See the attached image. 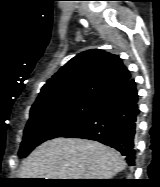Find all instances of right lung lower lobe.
<instances>
[{
  "label": "right lung lower lobe",
  "mask_w": 160,
  "mask_h": 187,
  "mask_svg": "<svg viewBox=\"0 0 160 187\" xmlns=\"http://www.w3.org/2000/svg\"><path fill=\"white\" fill-rule=\"evenodd\" d=\"M139 114L136 83L129 79L99 99L76 125L58 137L82 138L115 148L135 164L136 120Z\"/></svg>",
  "instance_id": "right-lung-lower-lobe-1"
}]
</instances>
